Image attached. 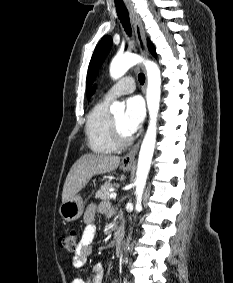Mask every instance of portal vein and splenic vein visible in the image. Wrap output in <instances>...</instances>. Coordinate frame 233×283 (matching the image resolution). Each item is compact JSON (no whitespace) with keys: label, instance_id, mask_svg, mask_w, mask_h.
<instances>
[{"label":"portal vein and splenic vein","instance_id":"1","mask_svg":"<svg viewBox=\"0 0 233 283\" xmlns=\"http://www.w3.org/2000/svg\"><path fill=\"white\" fill-rule=\"evenodd\" d=\"M117 197V193L113 192L110 194L111 199H115Z\"/></svg>","mask_w":233,"mask_h":283}]
</instances>
